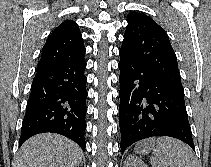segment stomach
<instances>
[{"label": "stomach", "mask_w": 211, "mask_h": 167, "mask_svg": "<svg viewBox=\"0 0 211 167\" xmlns=\"http://www.w3.org/2000/svg\"><path fill=\"white\" fill-rule=\"evenodd\" d=\"M155 139H148L143 142H140L136 147V152L139 154H148L149 152L153 151L155 147Z\"/></svg>", "instance_id": "0dacf381"}]
</instances>
